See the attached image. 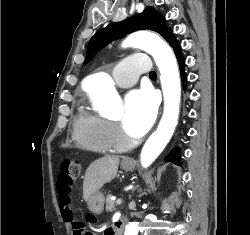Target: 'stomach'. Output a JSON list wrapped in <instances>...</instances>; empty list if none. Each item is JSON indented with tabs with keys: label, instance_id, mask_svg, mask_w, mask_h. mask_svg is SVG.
<instances>
[{
	"label": "stomach",
	"instance_id": "0dacf381",
	"mask_svg": "<svg viewBox=\"0 0 250 235\" xmlns=\"http://www.w3.org/2000/svg\"><path fill=\"white\" fill-rule=\"evenodd\" d=\"M121 167L125 171H131L134 169V164L122 163ZM104 201H105V197H104V194L102 192L98 191V192L94 193L88 201V207H89L90 211L95 213V214H101L103 212V209H104Z\"/></svg>",
	"mask_w": 250,
	"mask_h": 235
}]
</instances>
